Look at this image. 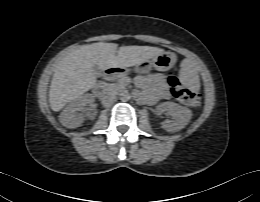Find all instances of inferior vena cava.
<instances>
[{
	"instance_id": "inferior-vena-cava-1",
	"label": "inferior vena cava",
	"mask_w": 260,
	"mask_h": 202,
	"mask_svg": "<svg viewBox=\"0 0 260 202\" xmlns=\"http://www.w3.org/2000/svg\"><path fill=\"white\" fill-rule=\"evenodd\" d=\"M117 101V98L115 95H105L103 98H102V104L104 106H110L112 104H114L115 102Z\"/></svg>"
}]
</instances>
